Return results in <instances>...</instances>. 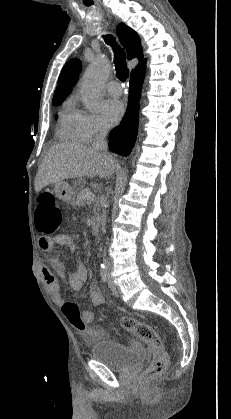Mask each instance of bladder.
I'll return each instance as SVG.
<instances>
[{
  "mask_svg": "<svg viewBox=\"0 0 231 419\" xmlns=\"http://www.w3.org/2000/svg\"><path fill=\"white\" fill-rule=\"evenodd\" d=\"M91 358L104 363L110 370L129 373L145 362V356L120 343L99 339L91 347Z\"/></svg>",
  "mask_w": 231,
  "mask_h": 419,
  "instance_id": "31cf9c89",
  "label": "bladder"
}]
</instances>
